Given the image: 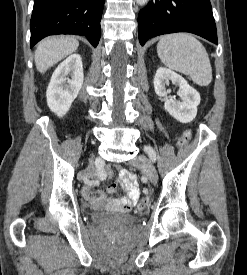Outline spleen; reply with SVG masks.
Masks as SVG:
<instances>
[{"mask_svg": "<svg viewBox=\"0 0 247 275\" xmlns=\"http://www.w3.org/2000/svg\"><path fill=\"white\" fill-rule=\"evenodd\" d=\"M157 53L168 68L188 75L200 86L212 81V68L205 47L188 33H173L161 37Z\"/></svg>", "mask_w": 247, "mask_h": 275, "instance_id": "spleen-1", "label": "spleen"}]
</instances>
